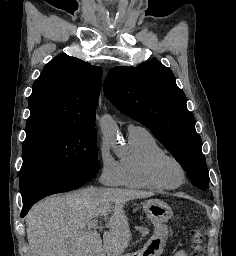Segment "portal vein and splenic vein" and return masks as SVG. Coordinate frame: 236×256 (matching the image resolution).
I'll use <instances>...</instances> for the list:
<instances>
[{"label":"portal vein and splenic vein","mask_w":236,"mask_h":256,"mask_svg":"<svg viewBox=\"0 0 236 256\" xmlns=\"http://www.w3.org/2000/svg\"><path fill=\"white\" fill-rule=\"evenodd\" d=\"M87 228H97L98 222L97 220H90L88 224H86Z\"/></svg>","instance_id":"1"}]
</instances>
